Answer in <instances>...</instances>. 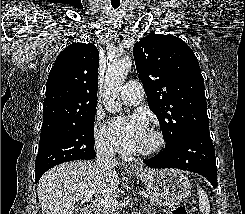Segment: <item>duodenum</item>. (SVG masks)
I'll return each mask as SVG.
<instances>
[{"label":"duodenum","instance_id":"1","mask_svg":"<svg viewBox=\"0 0 245 214\" xmlns=\"http://www.w3.org/2000/svg\"><path fill=\"white\" fill-rule=\"evenodd\" d=\"M96 208L93 206L87 207L82 211V214H95Z\"/></svg>","mask_w":245,"mask_h":214}]
</instances>
